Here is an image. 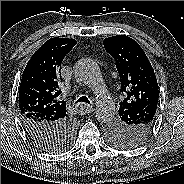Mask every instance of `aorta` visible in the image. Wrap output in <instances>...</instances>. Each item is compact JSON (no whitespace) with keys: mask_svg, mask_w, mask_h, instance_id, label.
<instances>
[{"mask_svg":"<svg viewBox=\"0 0 184 184\" xmlns=\"http://www.w3.org/2000/svg\"><path fill=\"white\" fill-rule=\"evenodd\" d=\"M75 78L91 88L96 94V118L108 123L116 114L114 101L106 95L99 66L91 59L84 58L74 65Z\"/></svg>","mask_w":184,"mask_h":184,"instance_id":"obj_1","label":"aorta"}]
</instances>
